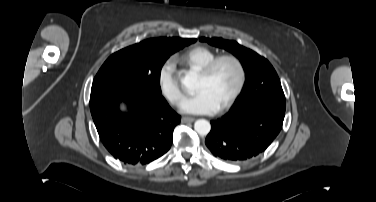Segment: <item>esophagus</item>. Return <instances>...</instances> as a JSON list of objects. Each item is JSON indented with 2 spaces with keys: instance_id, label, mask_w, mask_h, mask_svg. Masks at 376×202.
Here are the masks:
<instances>
[{
  "instance_id": "esophagus-1",
  "label": "esophagus",
  "mask_w": 376,
  "mask_h": 202,
  "mask_svg": "<svg viewBox=\"0 0 376 202\" xmlns=\"http://www.w3.org/2000/svg\"><path fill=\"white\" fill-rule=\"evenodd\" d=\"M193 121H195V118L193 117H182L181 119L182 123H188V122H193Z\"/></svg>"
}]
</instances>
